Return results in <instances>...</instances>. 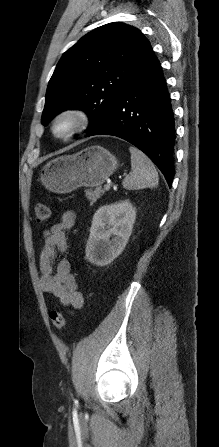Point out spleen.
I'll use <instances>...</instances> for the list:
<instances>
[{"label":"spleen","mask_w":219,"mask_h":447,"mask_svg":"<svg viewBox=\"0 0 219 447\" xmlns=\"http://www.w3.org/2000/svg\"><path fill=\"white\" fill-rule=\"evenodd\" d=\"M131 172L123 181L127 190L153 188L158 185V173L152 161L139 149L130 147Z\"/></svg>","instance_id":"1"}]
</instances>
